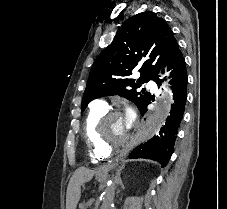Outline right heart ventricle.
I'll use <instances>...</instances> for the list:
<instances>
[{
  "label": "right heart ventricle",
  "instance_id": "right-heart-ventricle-1",
  "mask_svg": "<svg viewBox=\"0 0 227 209\" xmlns=\"http://www.w3.org/2000/svg\"><path fill=\"white\" fill-rule=\"evenodd\" d=\"M106 111V108L95 106L88 113L82 127V136L88 147L89 159L94 164H103L112 156L111 153L102 150L95 140L96 123Z\"/></svg>",
  "mask_w": 227,
  "mask_h": 209
}]
</instances>
